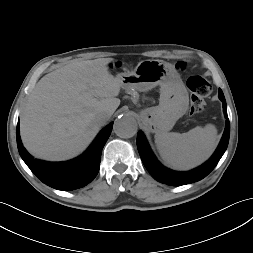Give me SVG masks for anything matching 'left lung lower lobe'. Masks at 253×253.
I'll return each instance as SVG.
<instances>
[{
    "label": "left lung lower lobe",
    "mask_w": 253,
    "mask_h": 253,
    "mask_svg": "<svg viewBox=\"0 0 253 253\" xmlns=\"http://www.w3.org/2000/svg\"><path fill=\"white\" fill-rule=\"evenodd\" d=\"M218 97L223 104V112L226 118V126L222 139L212 157L198 168L187 172H177L164 167L154 156L149 148L146 138L142 131L137 134V148L144 166L153 176V178L161 183L173 186H181L193 182H197L206 177L217 165L223 156L229 142L230 123L227 116L226 101L221 89H219Z\"/></svg>",
    "instance_id": "left-lung-lower-lobe-1"
}]
</instances>
